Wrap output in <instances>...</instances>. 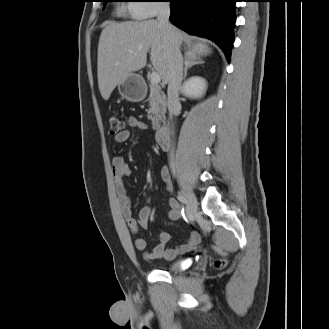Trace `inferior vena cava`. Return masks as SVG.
<instances>
[{
  "mask_svg": "<svg viewBox=\"0 0 329 329\" xmlns=\"http://www.w3.org/2000/svg\"><path fill=\"white\" fill-rule=\"evenodd\" d=\"M170 5L167 2H163L159 5L157 20L163 27L168 37L171 58L169 63V75H168V89H167V105L169 115L172 117L180 109L179 91L181 89V83L183 79V58L180 52L179 36L176 29L169 22ZM170 168L175 173V161L174 151H170Z\"/></svg>",
  "mask_w": 329,
  "mask_h": 329,
  "instance_id": "obj_1",
  "label": "inferior vena cava"
}]
</instances>
